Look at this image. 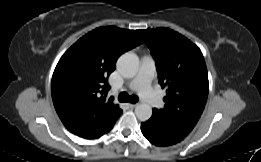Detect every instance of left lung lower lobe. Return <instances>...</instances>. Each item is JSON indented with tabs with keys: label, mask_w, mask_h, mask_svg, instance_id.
I'll list each match as a JSON object with an SVG mask.
<instances>
[{
	"label": "left lung lower lobe",
	"mask_w": 261,
	"mask_h": 162,
	"mask_svg": "<svg viewBox=\"0 0 261 162\" xmlns=\"http://www.w3.org/2000/svg\"><path fill=\"white\" fill-rule=\"evenodd\" d=\"M143 135L156 146H169L182 141L192 130L164 119L155 109L152 117L141 124Z\"/></svg>",
	"instance_id": "obj_1"
}]
</instances>
